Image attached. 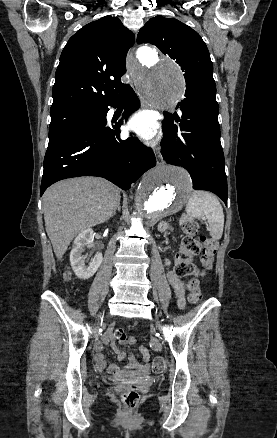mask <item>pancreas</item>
I'll return each instance as SVG.
<instances>
[{"label": "pancreas", "mask_w": 277, "mask_h": 438, "mask_svg": "<svg viewBox=\"0 0 277 438\" xmlns=\"http://www.w3.org/2000/svg\"><path fill=\"white\" fill-rule=\"evenodd\" d=\"M181 222L182 223H191L192 222V215L191 214H182L181 215Z\"/></svg>", "instance_id": "cf45deb5"}]
</instances>
